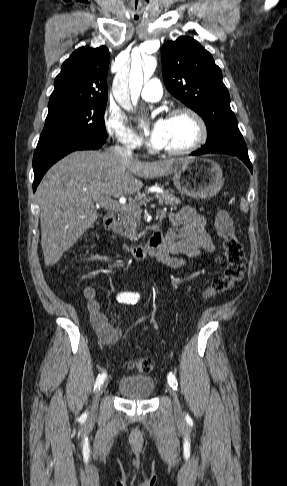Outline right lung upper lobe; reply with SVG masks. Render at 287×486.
Returning a JSON list of instances; mask_svg holds the SVG:
<instances>
[{
	"label": "right lung upper lobe",
	"instance_id": "obj_1",
	"mask_svg": "<svg viewBox=\"0 0 287 486\" xmlns=\"http://www.w3.org/2000/svg\"><path fill=\"white\" fill-rule=\"evenodd\" d=\"M109 61V50L105 46H84L74 51L55 78L48 107L91 99L107 100Z\"/></svg>",
	"mask_w": 287,
	"mask_h": 486
}]
</instances>
